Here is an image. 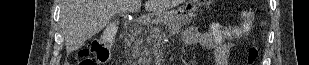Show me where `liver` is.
Segmentation results:
<instances>
[{
  "label": "liver",
  "mask_w": 309,
  "mask_h": 65,
  "mask_svg": "<svg viewBox=\"0 0 309 65\" xmlns=\"http://www.w3.org/2000/svg\"><path fill=\"white\" fill-rule=\"evenodd\" d=\"M142 0H61L60 25L68 53L81 48L118 13H136ZM183 0H146L145 10L162 14Z\"/></svg>",
  "instance_id": "obj_1"
}]
</instances>
